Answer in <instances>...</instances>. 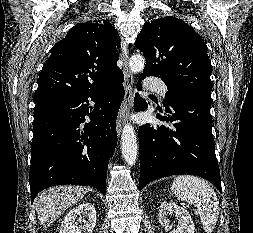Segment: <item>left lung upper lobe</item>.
Instances as JSON below:
<instances>
[{"mask_svg":"<svg viewBox=\"0 0 253 233\" xmlns=\"http://www.w3.org/2000/svg\"><path fill=\"white\" fill-rule=\"evenodd\" d=\"M135 46L146 59L142 75L164 81L168 104L190 96L211 99L212 66L206 44L184 21L173 16L150 19Z\"/></svg>","mask_w":253,"mask_h":233,"instance_id":"left-lung-upper-lobe-1","label":"left lung upper lobe"}]
</instances>
